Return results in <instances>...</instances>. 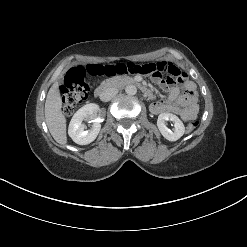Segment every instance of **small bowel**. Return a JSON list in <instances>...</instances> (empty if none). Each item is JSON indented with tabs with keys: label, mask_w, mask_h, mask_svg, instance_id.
<instances>
[{
	"label": "small bowel",
	"mask_w": 247,
	"mask_h": 247,
	"mask_svg": "<svg viewBox=\"0 0 247 247\" xmlns=\"http://www.w3.org/2000/svg\"><path fill=\"white\" fill-rule=\"evenodd\" d=\"M125 74L147 76L168 93L165 99L151 104L153 114L171 112L179 115L183 121L197 117L199 106L194 84L176 64L167 61L139 63Z\"/></svg>",
	"instance_id": "c3829d8e"
}]
</instances>
